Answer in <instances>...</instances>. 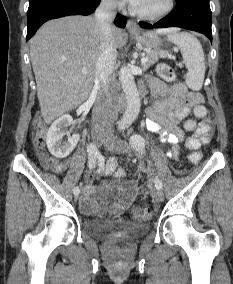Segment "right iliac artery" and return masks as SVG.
<instances>
[{
  "label": "right iliac artery",
  "mask_w": 233,
  "mask_h": 284,
  "mask_svg": "<svg viewBox=\"0 0 233 284\" xmlns=\"http://www.w3.org/2000/svg\"><path fill=\"white\" fill-rule=\"evenodd\" d=\"M87 152H88V167L90 169L94 168L97 162V157H102L97 150L96 146L94 144H89L87 147ZM99 168H104V167H99ZM80 190L79 187H74L73 193L74 194H79Z\"/></svg>",
  "instance_id": "1"
}]
</instances>
